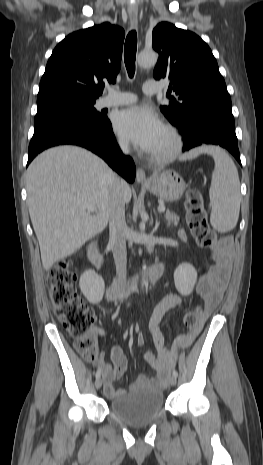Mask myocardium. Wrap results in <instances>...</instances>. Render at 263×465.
Segmentation results:
<instances>
[{
  "label": "myocardium",
  "mask_w": 263,
  "mask_h": 465,
  "mask_svg": "<svg viewBox=\"0 0 263 465\" xmlns=\"http://www.w3.org/2000/svg\"><path fill=\"white\" fill-rule=\"evenodd\" d=\"M164 130L167 132L172 141V147L164 154L151 153L149 155V159L156 164H167L174 161L178 158L183 149V139L179 131L172 125H166Z\"/></svg>",
  "instance_id": "myocardium-1"
}]
</instances>
